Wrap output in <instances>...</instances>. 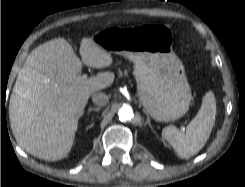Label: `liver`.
Here are the masks:
<instances>
[{
	"label": "liver",
	"instance_id": "1",
	"mask_svg": "<svg viewBox=\"0 0 245 187\" xmlns=\"http://www.w3.org/2000/svg\"><path fill=\"white\" fill-rule=\"evenodd\" d=\"M80 55L82 61L65 39H53L32 50L17 75L9 102L10 125L19 146L35 157L65 158L90 95L114 81L111 72L80 75L82 63L97 69L111 66V53L86 37Z\"/></svg>",
	"mask_w": 245,
	"mask_h": 187
}]
</instances>
